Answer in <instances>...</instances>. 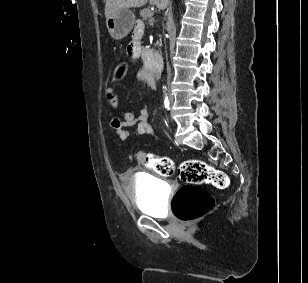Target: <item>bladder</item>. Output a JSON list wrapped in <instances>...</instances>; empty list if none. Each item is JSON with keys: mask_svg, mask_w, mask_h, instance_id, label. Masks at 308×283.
Segmentation results:
<instances>
[{"mask_svg": "<svg viewBox=\"0 0 308 283\" xmlns=\"http://www.w3.org/2000/svg\"><path fill=\"white\" fill-rule=\"evenodd\" d=\"M129 186L134 204L141 212L157 218L166 216V190L163 182L149 174L140 173L130 178Z\"/></svg>", "mask_w": 308, "mask_h": 283, "instance_id": "31cf9c89", "label": "bladder"}]
</instances>
